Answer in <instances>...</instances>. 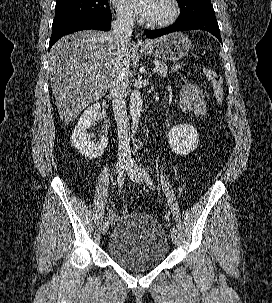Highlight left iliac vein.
I'll list each match as a JSON object with an SVG mask.
<instances>
[{"instance_id":"4c4485c4","label":"left iliac vein","mask_w":272,"mask_h":303,"mask_svg":"<svg viewBox=\"0 0 272 303\" xmlns=\"http://www.w3.org/2000/svg\"><path fill=\"white\" fill-rule=\"evenodd\" d=\"M126 171L131 180L139 184L143 183L144 178L142 175V171L131 159L127 161ZM171 239L173 243H177L178 238L176 232L171 231Z\"/></svg>"}]
</instances>
